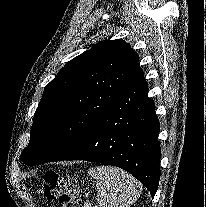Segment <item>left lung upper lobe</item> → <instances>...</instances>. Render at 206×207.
Instances as JSON below:
<instances>
[{
    "instance_id": "left-lung-upper-lobe-1",
    "label": "left lung upper lobe",
    "mask_w": 206,
    "mask_h": 207,
    "mask_svg": "<svg viewBox=\"0 0 206 207\" xmlns=\"http://www.w3.org/2000/svg\"><path fill=\"white\" fill-rule=\"evenodd\" d=\"M142 72L138 55L123 40L99 42L70 60L44 89L22 162L38 165L70 156Z\"/></svg>"
}]
</instances>
